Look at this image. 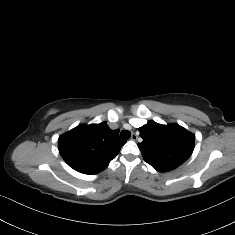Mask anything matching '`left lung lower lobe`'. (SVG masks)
Here are the masks:
<instances>
[{
    "instance_id": "obj_1",
    "label": "left lung lower lobe",
    "mask_w": 235,
    "mask_h": 235,
    "mask_svg": "<svg viewBox=\"0 0 235 235\" xmlns=\"http://www.w3.org/2000/svg\"><path fill=\"white\" fill-rule=\"evenodd\" d=\"M153 168H155L159 172H167V171L175 169V168H171V167H168V166H162V165L154 166Z\"/></svg>"
}]
</instances>
